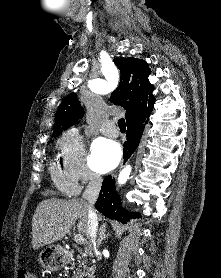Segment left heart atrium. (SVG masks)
Returning <instances> with one entry per match:
<instances>
[{"mask_svg":"<svg viewBox=\"0 0 221 278\" xmlns=\"http://www.w3.org/2000/svg\"><path fill=\"white\" fill-rule=\"evenodd\" d=\"M121 154L119 143L106 138H98L91 147L92 166L96 171L106 173L117 166Z\"/></svg>","mask_w":221,"mask_h":278,"instance_id":"39dd6f15","label":"left heart atrium"}]
</instances>
